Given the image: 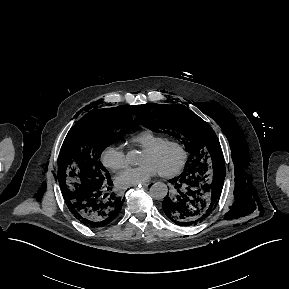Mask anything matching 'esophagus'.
<instances>
[{
	"label": "esophagus",
	"mask_w": 289,
	"mask_h": 289,
	"mask_svg": "<svg viewBox=\"0 0 289 289\" xmlns=\"http://www.w3.org/2000/svg\"><path fill=\"white\" fill-rule=\"evenodd\" d=\"M150 185V183H144V184H142V186L141 187H144V188H146V187H148Z\"/></svg>",
	"instance_id": "esophagus-1"
}]
</instances>
